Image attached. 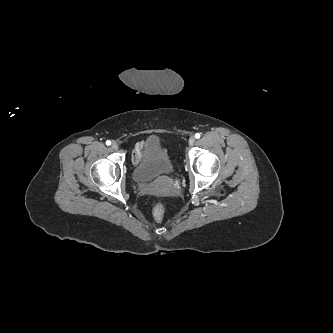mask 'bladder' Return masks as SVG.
Instances as JSON below:
<instances>
[{
    "instance_id": "31cf9c89",
    "label": "bladder",
    "mask_w": 333,
    "mask_h": 333,
    "mask_svg": "<svg viewBox=\"0 0 333 333\" xmlns=\"http://www.w3.org/2000/svg\"><path fill=\"white\" fill-rule=\"evenodd\" d=\"M144 149V157L132 171V177L135 181L150 182L162 175L175 172L172 158L163 149L157 137L148 138L144 144Z\"/></svg>"
}]
</instances>
